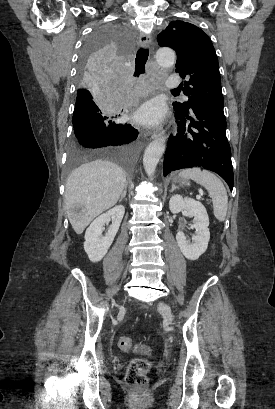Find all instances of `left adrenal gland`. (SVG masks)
Masks as SVG:
<instances>
[{
	"label": "left adrenal gland",
	"mask_w": 275,
	"mask_h": 409,
	"mask_svg": "<svg viewBox=\"0 0 275 409\" xmlns=\"http://www.w3.org/2000/svg\"><path fill=\"white\" fill-rule=\"evenodd\" d=\"M175 188H178V186H175L174 182H172V186H171L170 192H173V190H175Z\"/></svg>",
	"instance_id": "1"
}]
</instances>
